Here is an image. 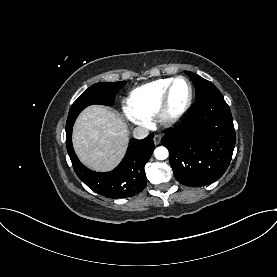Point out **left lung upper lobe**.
Wrapping results in <instances>:
<instances>
[{"label": "left lung upper lobe", "mask_w": 277, "mask_h": 277, "mask_svg": "<svg viewBox=\"0 0 277 277\" xmlns=\"http://www.w3.org/2000/svg\"><path fill=\"white\" fill-rule=\"evenodd\" d=\"M185 73L191 78L193 81L195 92H196V103L200 102L207 97L213 95H221V92L217 89V87L211 83L210 81L200 77L199 75L185 71Z\"/></svg>", "instance_id": "left-lung-upper-lobe-1"}]
</instances>
